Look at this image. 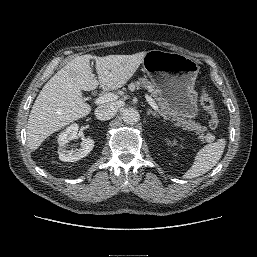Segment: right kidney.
I'll list each match as a JSON object with an SVG mask.
<instances>
[{"label": "right kidney", "mask_w": 257, "mask_h": 257, "mask_svg": "<svg viewBox=\"0 0 257 257\" xmlns=\"http://www.w3.org/2000/svg\"><path fill=\"white\" fill-rule=\"evenodd\" d=\"M78 125L72 124L58 136L59 159L64 162H75L88 155L94 147V140L90 137L84 138L79 149H69L68 143L77 138Z\"/></svg>", "instance_id": "1"}]
</instances>
